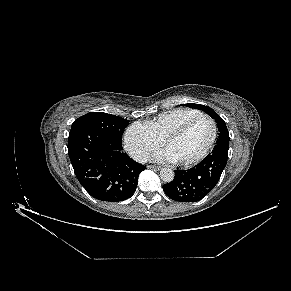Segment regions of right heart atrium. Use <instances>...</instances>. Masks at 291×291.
<instances>
[{
  "mask_svg": "<svg viewBox=\"0 0 291 291\" xmlns=\"http://www.w3.org/2000/svg\"><path fill=\"white\" fill-rule=\"evenodd\" d=\"M124 143L134 159L144 161L151 152L161 146L162 140L156 137L145 124L134 123L127 128Z\"/></svg>",
  "mask_w": 291,
  "mask_h": 291,
  "instance_id": "1",
  "label": "right heart atrium"
}]
</instances>
